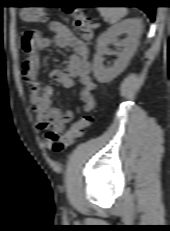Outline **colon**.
<instances>
[{
	"mask_svg": "<svg viewBox=\"0 0 170 231\" xmlns=\"http://www.w3.org/2000/svg\"><path fill=\"white\" fill-rule=\"evenodd\" d=\"M71 15L75 29L80 31L85 38H91L95 27L93 21L85 15L83 10L74 9L71 11ZM21 17L28 22H44L46 20V15L40 8H25L21 12ZM91 122V117L84 115L75 121L63 134H58L53 131L48 132L44 140L46 149L53 153L62 152L83 136Z\"/></svg>",
	"mask_w": 170,
	"mask_h": 231,
	"instance_id": "colon-1",
	"label": "colon"
}]
</instances>
